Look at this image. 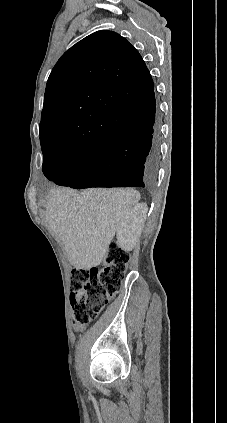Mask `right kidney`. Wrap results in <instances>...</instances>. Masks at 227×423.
<instances>
[{"mask_svg": "<svg viewBox=\"0 0 227 423\" xmlns=\"http://www.w3.org/2000/svg\"><path fill=\"white\" fill-rule=\"evenodd\" d=\"M148 211L147 204H136L127 211L117 229V239L120 247L125 251L134 249L144 227Z\"/></svg>", "mask_w": 227, "mask_h": 423, "instance_id": "ca27d5eb", "label": "right kidney"}]
</instances>
